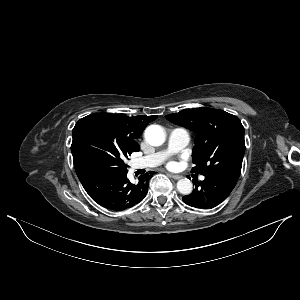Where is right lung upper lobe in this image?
Wrapping results in <instances>:
<instances>
[{"label": "right lung upper lobe", "instance_id": "right-lung-upper-lobe-1", "mask_svg": "<svg viewBox=\"0 0 300 300\" xmlns=\"http://www.w3.org/2000/svg\"><path fill=\"white\" fill-rule=\"evenodd\" d=\"M102 120L105 127L116 136L123 139L131 149L139 151L140 147L136 142L147 124L157 116H136L128 117L125 114L95 113Z\"/></svg>", "mask_w": 300, "mask_h": 300}]
</instances>
